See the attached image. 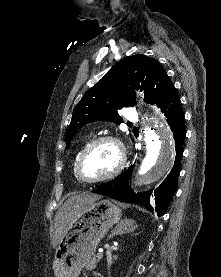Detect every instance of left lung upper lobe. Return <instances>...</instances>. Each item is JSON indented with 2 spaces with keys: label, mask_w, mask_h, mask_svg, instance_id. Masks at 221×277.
<instances>
[{
  "label": "left lung upper lobe",
  "mask_w": 221,
  "mask_h": 277,
  "mask_svg": "<svg viewBox=\"0 0 221 277\" xmlns=\"http://www.w3.org/2000/svg\"><path fill=\"white\" fill-rule=\"evenodd\" d=\"M128 85L132 88H127ZM139 87L147 103L159 106L174 86L157 60L140 54L122 60L90 88L74 108L65 134L66 148L74 134L89 122L106 120L120 124L123 120L118 110L135 105L134 90Z\"/></svg>",
  "instance_id": "1"
}]
</instances>
